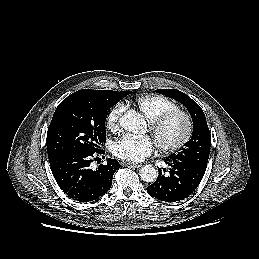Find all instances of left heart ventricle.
Here are the masks:
<instances>
[{
	"mask_svg": "<svg viewBox=\"0 0 259 259\" xmlns=\"http://www.w3.org/2000/svg\"><path fill=\"white\" fill-rule=\"evenodd\" d=\"M184 131V123L180 118H174L166 123L159 132L158 138L164 144H171L177 141Z\"/></svg>",
	"mask_w": 259,
	"mask_h": 259,
	"instance_id": "1",
	"label": "left heart ventricle"
}]
</instances>
